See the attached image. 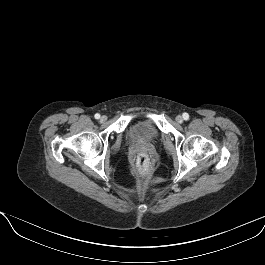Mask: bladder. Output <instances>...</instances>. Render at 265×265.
Here are the masks:
<instances>
[{"label": "bladder", "mask_w": 265, "mask_h": 265, "mask_svg": "<svg viewBox=\"0 0 265 265\" xmlns=\"http://www.w3.org/2000/svg\"><path fill=\"white\" fill-rule=\"evenodd\" d=\"M126 138L133 143L153 144L160 138V130L152 119L137 121L126 129Z\"/></svg>", "instance_id": "1"}]
</instances>
